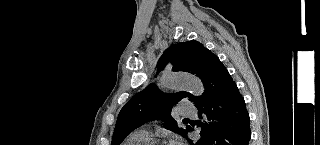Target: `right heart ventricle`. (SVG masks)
Here are the masks:
<instances>
[{
    "label": "right heart ventricle",
    "mask_w": 320,
    "mask_h": 145,
    "mask_svg": "<svg viewBox=\"0 0 320 145\" xmlns=\"http://www.w3.org/2000/svg\"><path fill=\"white\" fill-rule=\"evenodd\" d=\"M149 141L148 135L135 131L125 139L123 145H145Z\"/></svg>",
    "instance_id": "obj_1"
}]
</instances>
